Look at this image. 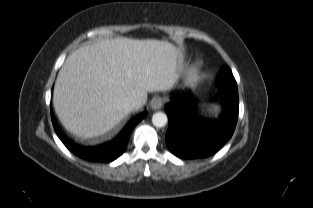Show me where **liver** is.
I'll return each instance as SVG.
<instances>
[{
	"label": "liver",
	"instance_id": "6515ba94",
	"mask_svg": "<svg viewBox=\"0 0 313 208\" xmlns=\"http://www.w3.org/2000/svg\"><path fill=\"white\" fill-rule=\"evenodd\" d=\"M179 50L155 39H104L68 56L55 88L54 107L67 131L81 139L115 133L134 95L140 109L148 92L167 91L177 78Z\"/></svg>",
	"mask_w": 313,
	"mask_h": 208
}]
</instances>
